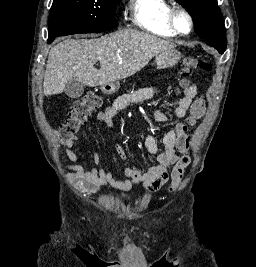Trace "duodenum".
<instances>
[{
    "mask_svg": "<svg viewBox=\"0 0 256 267\" xmlns=\"http://www.w3.org/2000/svg\"><path fill=\"white\" fill-rule=\"evenodd\" d=\"M118 88H121V83L116 81V78H107V81H103V85H99L102 94H115V90Z\"/></svg>",
    "mask_w": 256,
    "mask_h": 267,
    "instance_id": "duodenum-1",
    "label": "duodenum"
}]
</instances>
